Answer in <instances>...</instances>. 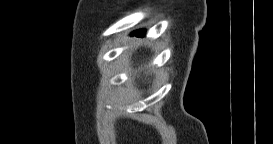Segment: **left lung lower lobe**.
<instances>
[{"label":"left lung lower lobe","mask_w":273,"mask_h":144,"mask_svg":"<svg viewBox=\"0 0 273 144\" xmlns=\"http://www.w3.org/2000/svg\"><path fill=\"white\" fill-rule=\"evenodd\" d=\"M131 35L143 36L144 35V31L138 30V31L133 32Z\"/></svg>","instance_id":"left-lung-lower-lobe-1"}]
</instances>
